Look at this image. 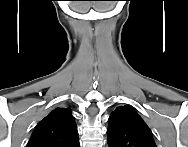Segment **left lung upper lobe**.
<instances>
[{"mask_svg": "<svg viewBox=\"0 0 188 147\" xmlns=\"http://www.w3.org/2000/svg\"><path fill=\"white\" fill-rule=\"evenodd\" d=\"M108 144L116 147H156L153 134L130 106L116 108L109 119Z\"/></svg>", "mask_w": 188, "mask_h": 147, "instance_id": "1", "label": "left lung upper lobe"}]
</instances>
